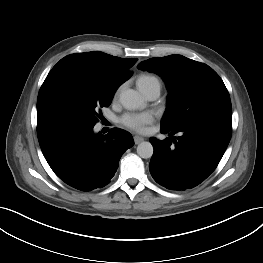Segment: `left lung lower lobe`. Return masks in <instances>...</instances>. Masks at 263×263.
<instances>
[{
	"mask_svg": "<svg viewBox=\"0 0 263 263\" xmlns=\"http://www.w3.org/2000/svg\"><path fill=\"white\" fill-rule=\"evenodd\" d=\"M168 132L170 139L150 138L154 148L150 173L167 189L186 190L199 185L215 170L231 139L232 124L205 118L174 130L161 127V133Z\"/></svg>",
	"mask_w": 263,
	"mask_h": 263,
	"instance_id": "obj_1",
	"label": "left lung lower lobe"
}]
</instances>
